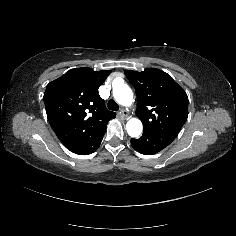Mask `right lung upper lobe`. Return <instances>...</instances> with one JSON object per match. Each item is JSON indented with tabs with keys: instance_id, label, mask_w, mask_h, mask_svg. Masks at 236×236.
I'll use <instances>...</instances> for the list:
<instances>
[{
	"instance_id": "1",
	"label": "right lung upper lobe",
	"mask_w": 236,
	"mask_h": 236,
	"mask_svg": "<svg viewBox=\"0 0 236 236\" xmlns=\"http://www.w3.org/2000/svg\"><path fill=\"white\" fill-rule=\"evenodd\" d=\"M109 73L76 68L47 85L43 97L47 118L66 148L98 134L115 118L97 94Z\"/></svg>"
}]
</instances>
